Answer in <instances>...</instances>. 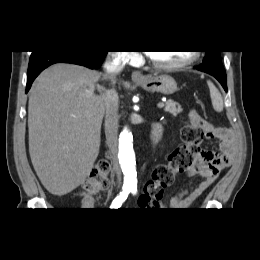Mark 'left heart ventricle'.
<instances>
[{
	"label": "left heart ventricle",
	"mask_w": 260,
	"mask_h": 260,
	"mask_svg": "<svg viewBox=\"0 0 260 260\" xmlns=\"http://www.w3.org/2000/svg\"><path fill=\"white\" fill-rule=\"evenodd\" d=\"M150 55L159 63H176L187 59L191 52L188 51H154Z\"/></svg>",
	"instance_id": "obj_1"
}]
</instances>
